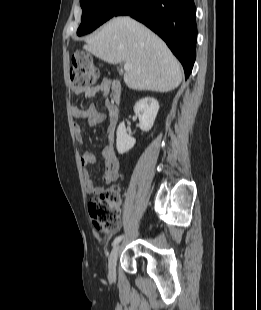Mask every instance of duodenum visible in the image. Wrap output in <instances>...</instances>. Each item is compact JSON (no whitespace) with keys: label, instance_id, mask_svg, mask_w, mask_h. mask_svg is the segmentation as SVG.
I'll return each mask as SVG.
<instances>
[{"label":"duodenum","instance_id":"410a0bca","mask_svg":"<svg viewBox=\"0 0 261 310\" xmlns=\"http://www.w3.org/2000/svg\"><path fill=\"white\" fill-rule=\"evenodd\" d=\"M120 92H121L120 83L116 80L113 81L112 82V94L114 98H119ZM117 120H118V112L115 108H113V111L111 113V121L114 125H116Z\"/></svg>","mask_w":261,"mask_h":310}]
</instances>
